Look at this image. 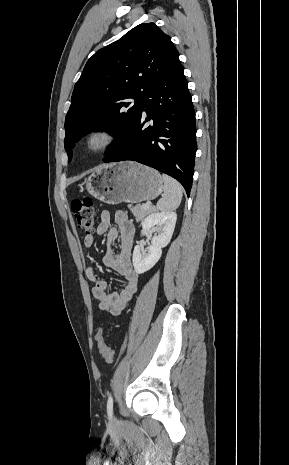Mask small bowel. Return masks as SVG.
Wrapping results in <instances>:
<instances>
[{"mask_svg": "<svg viewBox=\"0 0 289 465\" xmlns=\"http://www.w3.org/2000/svg\"><path fill=\"white\" fill-rule=\"evenodd\" d=\"M116 227L111 226L110 212L104 210L100 214V222L96 232L98 235L107 234L109 244L120 236V248L114 252L111 246L103 257L105 266L116 271L123 278V285L117 292H109L104 278L98 276L92 267L85 269L86 277L93 283L92 295L99 304V309L105 313L119 315L129 304L132 295L138 287L139 275L135 271L131 253L134 240V226L128 220L126 213L118 211L114 215ZM84 247L91 248L94 236L87 234L83 239Z\"/></svg>", "mask_w": 289, "mask_h": 465, "instance_id": "1", "label": "small bowel"}]
</instances>
